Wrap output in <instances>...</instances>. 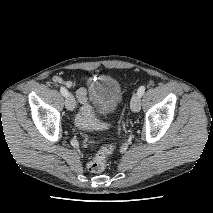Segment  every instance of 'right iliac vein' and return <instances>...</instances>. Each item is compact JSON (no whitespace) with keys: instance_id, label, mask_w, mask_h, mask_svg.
I'll return each instance as SVG.
<instances>
[{"instance_id":"63e3f726","label":"right iliac vein","mask_w":213,"mask_h":213,"mask_svg":"<svg viewBox=\"0 0 213 213\" xmlns=\"http://www.w3.org/2000/svg\"><path fill=\"white\" fill-rule=\"evenodd\" d=\"M75 105H76V102H75L74 96L72 94H68L65 99V106L67 110L69 111L74 110Z\"/></svg>"}]
</instances>
